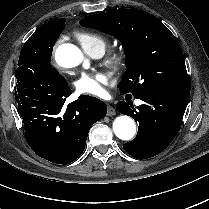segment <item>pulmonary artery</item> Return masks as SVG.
I'll return each mask as SVG.
<instances>
[{"label": "pulmonary artery", "instance_id": "pulmonary-artery-1", "mask_svg": "<svg viewBox=\"0 0 209 209\" xmlns=\"http://www.w3.org/2000/svg\"><path fill=\"white\" fill-rule=\"evenodd\" d=\"M103 52H104L103 50L98 49V50L93 51V52L91 53V55H92L93 57H95V58H99V57L102 56ZM136 103H137V104H140L141 101L137 100Z\"/></svg>", "mask_w": 209, "mask_h": 209}]
</instances>
